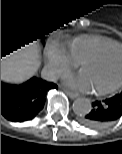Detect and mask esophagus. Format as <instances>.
Masks as SVG:
<instances>
[{
    "label": "esophagus",
    "instance_id": "34e87169",
    "mask_svg": "<svg viewBox=\"0 0 122 154\" xmlns=\"http://www.w3.org/2000/svg\"><path fill=\"white\" fill-rule=\"evenodd\" d=\"M64 90V92L71 98V99H75V98H77L78 97V94L77 93H74V92H71V91H69V90H67V89H63Z\"/></svg>",
    "mask_w": 122,
    "mask_h": 154
}]
</instances>
